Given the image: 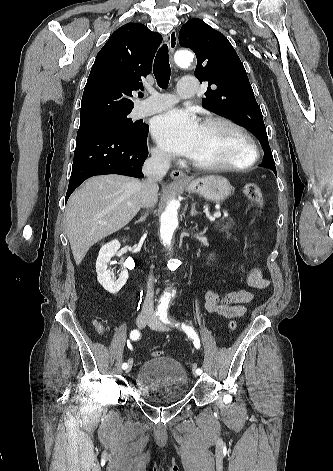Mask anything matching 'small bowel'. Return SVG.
<instances>
[{"label":"small bowel","instance_id":"1","mask_svg":"<svg viewBox=\"0 0 333 471\" xmlns=\"http://www.w3.org/2000/svg\"><path fill=\"white\" fill-rule=\"evenodd\" d=\"M247 284L253 289H265L269 287L270 281L261 268L254 267L248 274ZM253 299V293L247 290H234L225 294L209 290L204 294V308L211 315L231 320L243 317L247 312L246 304Z\"/></svg>","mask_w":333,"mask_h":471}]
</instances>
